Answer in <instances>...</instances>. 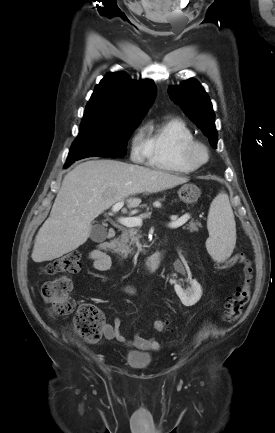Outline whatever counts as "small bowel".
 <instances>
[{
	"instance_id": "1",
	"label": "small bowel",
	"mask_w": 275,
	"mask_h": 433,
	"mask_svg": "<svg viewBox=\"0 0 275 433\" xmlns=\"http://www.w3.org/2000/svg\"><path fill=\"white\" fill-rule=\"evenodd\" d=\"M89 259L92 261L93 268L97 271H105L111 265L110 257L100 251L93 249L88 254ZM128 290H130L128 288ZM121 322L116 319L113 324H103V333L106 339L117 340L129 347H134L140 350H158L160 343L154 338H145L141 335H136L133 340L127 339L120 331Z\"/></svg>"
}]
</instances>
